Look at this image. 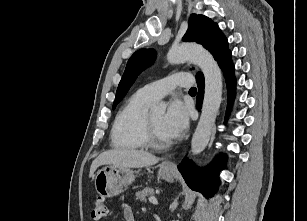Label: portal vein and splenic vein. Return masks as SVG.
<instances>
[{"label":"portal vein and splenic vein","instance_id":"portal-vein-and-splenic-vein-1","mask_svg":"<svg viewBox=\"0 0 307 221\" xmlns=\"http://www.w3.org/2000/svg\"><path fill=\"white\" fill-rule=\"evenodd\" d=\"M149 201H150L152 204H155V205L158 204V201H157V199H156L155 197H150V198H149Z\"/></svg>","mask_w":307,"mask_h":221}]
</instances>
